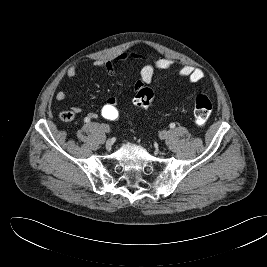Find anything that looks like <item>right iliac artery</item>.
I'll return each instance as SVG.
<instances>
[{
    "instance_id": "right-iliac-artery-1",
    "label": "right iliac artery",
    "mask_w": 267,
    "mask_h": 267,
    "mask_svg": "<svg viewBox=\"0 0 267 267\" xmlns=\"http://www.w3.org/2000/svg\"><path fill=\"white\" fill-rule=\"evenodd\" d=\"M90 121V119L89 118H85V122H89ZM109 131H110V129H109Z\"/></svg>"
}]
</instances>
